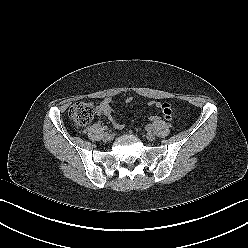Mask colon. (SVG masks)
Masks as SVG:
<instances>
[{"instance_id": "1", "label": "colon", "mask_w": 248, "mask_h": 248, "mask_svg": "<svg viewBox=\"0 0 248 248\" xmlns=\"http://www.w3.org/2000/svg\"><path fill=\"white\" fill-rule=\"evenodd\" d=\"M69 116L71 120L78 127H83L89 124L94 116V107L89 102H76L69 109ZM161 119L158 115L149 116L151 122H156Z\"/></svg>"}]
</instances>
